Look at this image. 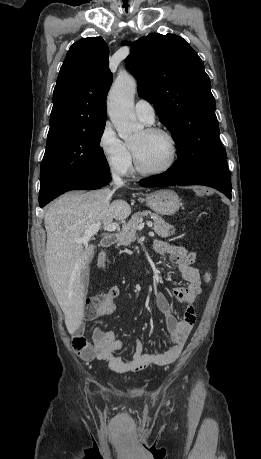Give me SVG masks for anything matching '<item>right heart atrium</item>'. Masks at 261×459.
<instances>
[{"label":"right heart atrium","instance_id":"obj_1","mask_svg":"<svg viewBox=\"0 0 261 459\" xmlns=\"http://www.w3.org/2000/svg\"><path fill=\"white\" fill-rule=\"evenodd\" d=\"M98 147L108 168L113 173L126 175L131 172L133 165L131 150L119 138L110 122H105L100 130Z\"/></svg>","mask_w":261,"mask_h":459}]
</instances>
